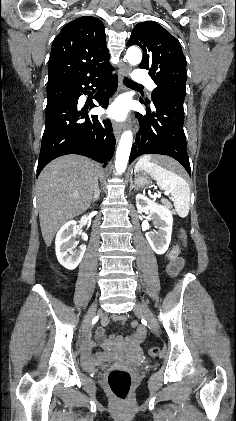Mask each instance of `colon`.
I'll list each match as a JSON object with an SVG mask.
<instances>
[{"mask_svg":"<svg viewBox=\"0 0 236 421\" xmlns=\"http://www.w3.org/2000/svg\"><path fill=\"white\" fill-rule=\"evenodd\" d=\"M180 241L183 246H187V233L184 229L180 231ZM157 354L158 350L156 348H150L148 350V356L150 357H155ZM107 383L113 394L117 398L124 400L130 391L132 377L131 374L124 369H112L108 374Z\"/></svg>","mask_w":236,"mask_h":421,"instance_id":"5ec220e1","label":"colon"}]
</instances>
